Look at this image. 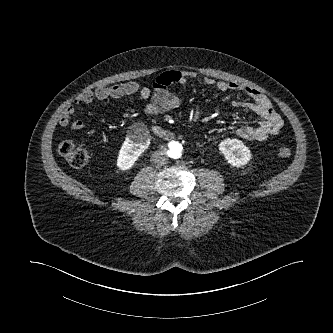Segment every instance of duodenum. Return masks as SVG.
<instances>
[{"label":"duodenum","instance_id":"410a0bca","mask_svg":"<svg viewBox=\"0 0 333 333\" xmlns=\"http://www.w3.org/2000/svg\"><path fill=\"white\" fill-rule=\"evenodd\" d=\"M154 132H155L160 138L165 139V140H171V139H173V137H174V135H173L171 132H169V131H167V130H165L164 128L159 127V126H155V127H154Z\"/></svg>","mask_w":333,"mask_h":333}]
</instances>
